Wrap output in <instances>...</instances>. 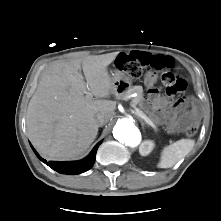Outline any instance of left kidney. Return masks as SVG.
I'll return each mask as SVG.
<instances>
[{
	"mask_svg": "<svg viewBox=\"0 0 221 221\" xmlns=\"http://www.w3.org/2000/svg\"><path fill=\"white\" fill-rule=\"evenodd\" d=\"M154 145L152 140H145L140 147V154L142 156L148 155L153 150Z\"/></svg>",
	"mask_w": 221,
	"mask_h": 221,
	"instance_id": "1",
	"label": "left kidney"
}]
</instances>
